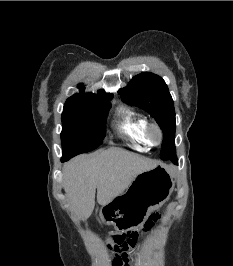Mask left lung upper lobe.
Listing matches in <instances>:
<instances>
[{
  "label": "left lung upper lobe",
  "instance_id": "obj_1",
  "mask_svg": "<svg viewBox=\"0 0 233 266\" xmlns=\"http://www.w3.org/2000/svg\"><path fill=\"white\" fill-rule=\"evenodd\" d=\"M118 93L126 103L144 109L156 119L164 134L161 159H170L176 152L175 111L172 97L164 80L153 73L142 72Z\"/></svg>",
  "mask_w": 233,
  "mask_h": 266
}]
</instances>
